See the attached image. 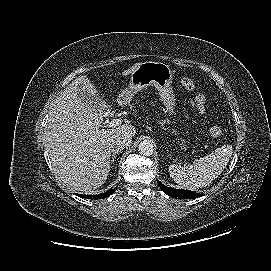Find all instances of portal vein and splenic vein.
<instances>
[{
	"label": "portal vein and splenic vein",
	"mask_w": 271,
	"mask_h": 271,
	"mask_svg": "<svg viewBox=\"0 0 271 271\" xmlns=\"http://www.w3.org/2000/svg\"><path fill=\"white\" fill-rule=\"evenodd\" d=\"M121 124V119H113L108 125L107 127L109 128H115L117 126H119Z\"/></svg>",
	"instance_id": "obj_1"
}]
</instances>
